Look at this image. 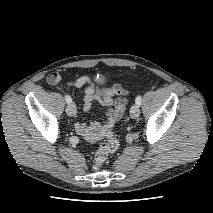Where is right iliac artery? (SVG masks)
<instances>
[{
  "instance_id": "right-iliac-artery-1",
  "label": "right iliac artery",
  "mask_w": 213,
  "mask_h": 213,
  "mask_svg": "<svg viewBox=\"0 0 213 213\" xmlns=\"http://www.w3.org/2000/svg\"><path fill=\"white\" fill-rule=\"evenodd\" d=\"M65 100H66V102H67L68 104L72 103V99H71V97H70L69 95H66V96H65Z\"/></svg>"
}]
</instances>
